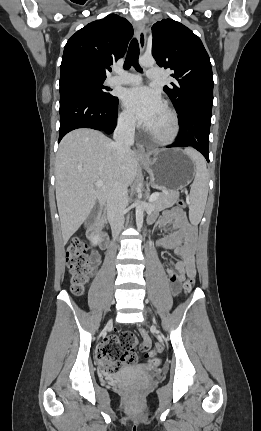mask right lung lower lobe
I'll return each instance as SVG.
<instances>
[{"instance_id":"obj_1","label":"right lung lower lobe","mask_w":261,"mask_h":431,"mask_svg":"<svg viewBox=\"0 0 261 431\" xmlns=\"http://www.w3.org/2000/svg\"><path fill=\"white\" fill-rule=\"evenodd\" d=\"M118 98L100 100L81 89H60L59 142L70 131L91 128L107 134L116 127Z\"/></svg>"}]
</instances>
